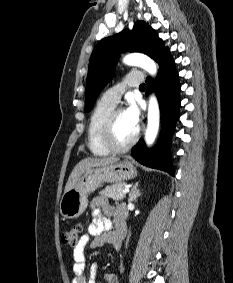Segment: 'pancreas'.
Returning <instances> with one entry per match:
<instances>
[{
    "mask_svg": "<svg viewBox=\"0 0 233 283\" xmlns=\"http://www.w3.org/2000/svg\"><path fill=\"white\" fill-rule=\"evenodd\" d=\"M125 186L126 184L122 182L106 186L104 190L100 191V195L111 198L115 201H121L126 196V194L121 193Z\"/></svg>",
    "mask_w": 233,
    "mask_h": 283,
    "instance_id": "cf45deb5",
    "label": "pancreas"
}]
</instances>
